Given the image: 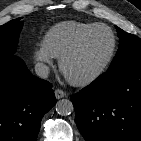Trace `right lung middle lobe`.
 <instances>
[{"instance_id":"dd1d6c3e","label":"right lung middle lobe","mask_w":141,"mask_h":141,"mask_svg":"<svg viewBox=\"0 0 141 141\" xmlns=\"http://www.w3.org/2000/svg\"><path fill=\"white\" fill-rule=\"evenodd\" d=\"M11 20L0 26V57H7L14 54L19 33L22 29L23 22Z\"/></svg>"}]
</instances>
